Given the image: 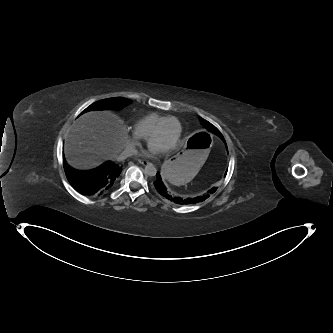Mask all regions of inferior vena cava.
I'll use <instances>...</instances> for the list:
<instances>
[{
  "label": "inferior vena cava",
  "instance_id": "1",
  "mask_svg": "<svg viewBox=\"0 0 333 333\" xmlns=\"http://www.w3.org/2000/svg\"><path fill=\"white\" fill-rule=\"evenodd\" d=\"M137 152L138 151L135 147L128 146L122 151V153L117 157V159L118 160H124L127 157H130L132 155H136Z\"/></svg>",
  "mask_w": 333,
  "mask_h": 333
}]
</instances>
